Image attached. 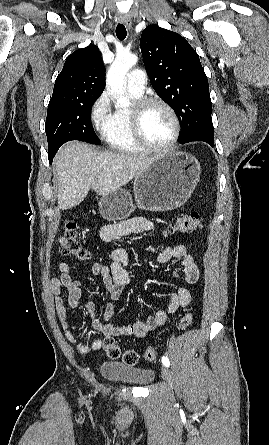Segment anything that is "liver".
<instances>
[{"label": "liver", "mask_w": 269, "mask_h": 445, "mask_svg": "<svg viewBox=\"0 0 269 445\" xmlns=\"http://www.w3.org/2000/svg\"><path fill=\"white\" fill-rule=\"evenodd\" d=\"M157 157L114 151L100 152L79 142L65 144L54 160L58 205L62 210L79 205L90 189L106 195L126 185Z\"/></svg>", "instance_id": "1"}]
</instances>
